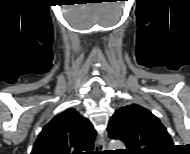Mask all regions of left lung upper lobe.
Listing matches in <instances>:
<instances>
[{"instance_id":"5c2ea615","label":"left lung upper lobe","mask_w":190,"mask_h":154,"mask_svg":"<svg viewBox=\"0 0 190 154\" xmlns=\"http://www.w3.org/2000/svg\"><path fill=\"white\" fill-rule=\"evenodd\" d=\"M108 135L122 140L128 154H159L173 147L172 139L160 120L137 104L120 108L113 114Z\"/></svg>"}]
</instances>
